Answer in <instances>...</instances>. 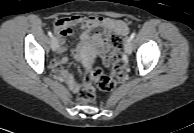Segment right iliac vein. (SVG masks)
<instances>
[{
	"mask_svg": "<svg viewBox=\"0 0 194 133\" xmlns=\"http://www.w3.org/2000/svg\"><path fill=\"white\" fill-rule=\"evenodd\" d=\"M51 48H52L53 51H56L57 48H58V41H57V39L54 38V37H53L52 40H51Z\"/></svg>",
	"mask_w": 194,
	"mask_h": 133,
	"instance_id": "right-iliac-vein-1",
	"label": "right iliac vein"
}]
</instances>
